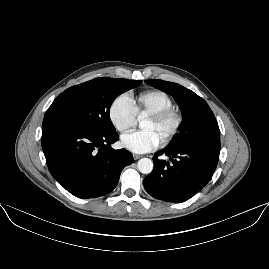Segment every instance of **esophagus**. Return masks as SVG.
I'll list each match as a JSON object with an SVG mask.
<instances>
[{
  "instance_id": "obj_1",
  "label": "esophagus",
  "mask_w": 269,
  "mask_h": 269,
  "mask_svg": "<svg viewBox=\"0 0 269 269\" xmlns=\"http://www.w3.org/2000/svg\"><path fill=\"white\" fill-rule=\"evenodd\" d=\"M134 160H138L139 158L142 157V155H138V154H133Z\"/></svg>"
}]
</instances>
